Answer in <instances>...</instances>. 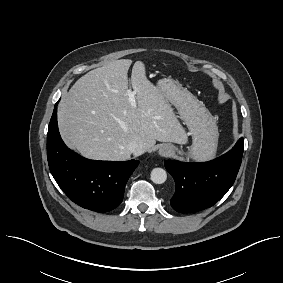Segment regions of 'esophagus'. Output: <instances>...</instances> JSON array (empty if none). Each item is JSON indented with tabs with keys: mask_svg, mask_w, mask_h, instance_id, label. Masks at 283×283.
Wrapping results in <instances>:
<instances>
[{
	"mask_svg": "<svg viewBox=\"0 0 283 283\" xmlns=\"http://www.w3.org/2000/svg\"><path fill=\"white\" fill-rule=\"evenodd\" d=\"M171 152H172V149L169 146H163L159 149V154L161 156H169Z\"/></svg>",
	"mask_w": 283,
	"mask_h": 283,
	"instance_id": "esophagus-1",
	"label": "esophagus"
}]
</instances>
